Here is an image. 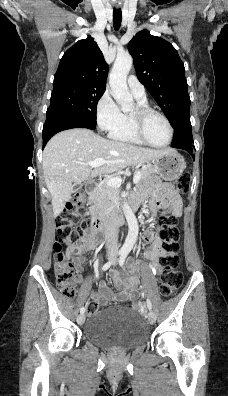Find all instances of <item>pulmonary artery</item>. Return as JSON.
I'll return each instance as SVG.
<instances>
[{
  "label": "pulmonary artery",
  "instance_id": "obj_1",
  "mask_svg": "<svg viewBox=\"0 0 228 396\" xmlns=\"http://www.w3.org/2000/svg\"><path fill=\"white\" fill-rule=\"evenodd\" d=\"M127 84L129 90L136 98H141V99L146 98L145 88L135 75H130L127 78Z\"/></svg>",
  "mask_w": 228,
  "mask_h": 396
}]
</instances>
